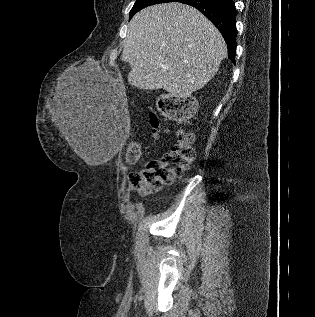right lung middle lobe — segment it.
I'll return each mask as SVG.
<instances>
[{
    "instance_id": "1",
    "label": "right lung middle lobe",
    "mask_w": 315,
    "mask_h": 317,
    "mask_svg": "<svg viewBox=\"0 0 315 317\" xmlns=\"http://www.w3.org/2000/svg\"><path fill=\"white\" fill-rule=\"evenodd\" d=\"M177 2V0H137L130 11V18L139 10L154 4Z\"/></svg>"
}]
</instances>
